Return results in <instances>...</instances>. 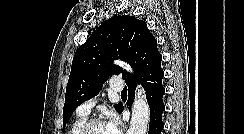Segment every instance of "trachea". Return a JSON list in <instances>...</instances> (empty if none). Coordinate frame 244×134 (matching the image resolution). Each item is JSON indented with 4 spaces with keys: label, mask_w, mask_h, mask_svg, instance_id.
<instances>
[{
    "label": "trachea",
    "mask_w": 244,
    "mask_h": 134,
    "mask_svg": "<svg viewBox=\"0 0 244 134\" xmlns=\"http://www.w3.org/2000/svg\"><path fill=\"white\" fill-rule=\"evenodd\" d=\"M125 95H127V90H123L121 93V96H125Z\"/></svg>",
    "instance_id": "3493384b"
}]
</instances>
